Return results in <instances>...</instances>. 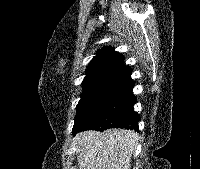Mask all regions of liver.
I'll use <instances>...</instances> for the list:
<instances>
[{
	"label": "liver",
	"instance_id": "liver-1",
	"mask_svg": "<svg viewBox=\"0 0 200 169\" xmlns=\"http://www.w3.org/2000/svg\"><path fill=\"white\" fill-rule=\"evenodd\" d=\"M138 134L126 129L85 131L74 138L79 169H130Z\"/></svg>",
	"mask_w": 200,
	"mask_h": 169
}]
</instances>
